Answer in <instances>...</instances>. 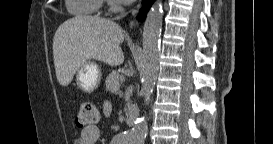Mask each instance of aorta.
Segmentation results:
<instances>
[{"label": "aorta", "mask_w": 273, "mask_h": 144, "mask_svg": "<svg viewBox=\"0 0 273 144\" xmlns=\"http://www.w3.org/2000/svg\"><path fill=\"white\" fill-rule=\"evenodd\" d=\"M163 20L162 0H157L149 10L143 28L142 94L145 105L151 101L159 71L160 35ZM147 135V121L138 118L132 129L118 136L119 144H143Z\"/></svg>", "instance_id": "obj_1"}]
</instances>
